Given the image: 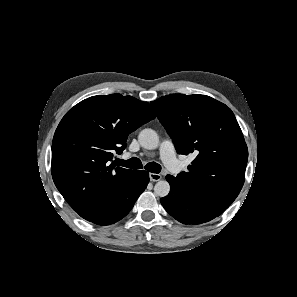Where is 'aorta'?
I'll use <instances>...</instances> for the list:
<instances>
[{
  "instance_id": "aorta-1",
  "label": "aorta",
  "mask_w": 297,
  "mask_h": 297,
  "mask_svg": "<svg viewBox=\"0 0 297 297\" xmlns=\"http://www.w3.org/2000/svg\"><path fill=\"white\" fill-rule=\"evenodd\" d=\"M138 141L145 149H155L159 144V136L152 129H144L139 133ZM154 192L159 197H165L170 192V185L166 180H159L154 186Z\"/></svg>"
}]
</instances>
